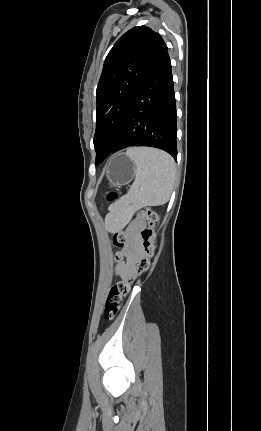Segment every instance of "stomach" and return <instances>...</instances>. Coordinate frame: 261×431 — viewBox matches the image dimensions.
<instances>
[{"label": "stomach", "mask_w": 261, "mask_h": 431, "mask_svg": "<svg viewBox=\"0 0 261 431\" xmlns=\"http://www.w3.org/2000/svg\"><path fill=\"white\" fill-rule=\"evenodd\" d=\"M135 164L125 154L115 155L108 163L106 177L111 185L128 184L135 176Z\"/></svg>", "instance_id": "obj_1"}]
</instances>
